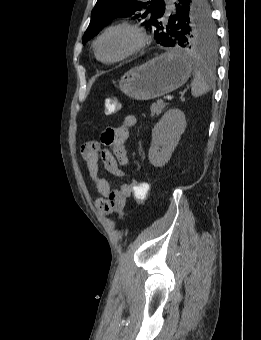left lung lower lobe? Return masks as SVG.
<instances>
[{
    "label": "left lung lower lobe",
    "instance_id": "1",
    "mask_svg": "<svg viewBox=\"0 0 261 340\" xmlns=\"http://www.w3.org/2000/svg\"><path fill=\"white\" fill-rule=\"evenodd\" d=\"M192 1L193 0H175L174 1L175 14L170 15L167 19V22H169L172 25L173 24L177 25L179 23L180 18L182 16H186L190 12ZM175 45H176L175 39L171 38L166 43V47H175Z\"/></svg>",
    "mask_w": 261,
    "mask_h": 340
}]
</instances>
